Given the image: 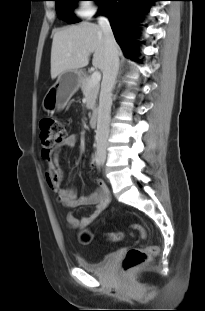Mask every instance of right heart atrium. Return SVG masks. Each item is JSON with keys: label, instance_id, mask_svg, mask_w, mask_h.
Here are the masks:
<instances>
[{"label": "right heart atrium", "instance_id": "1", "mask_svg": "<svg viewBox=\"0 0 205 311\" xmlns=\"http://www.w3.org/2000/svg\"><path fill=\"white\" fill-rule=\"evenodd\" d=\"M97 8L92 1L83 0L79 4L78 13L83 17H90L96 12Z\"/></svg>", "mask_w": 205, "mask_h": 311}]
</instances>
